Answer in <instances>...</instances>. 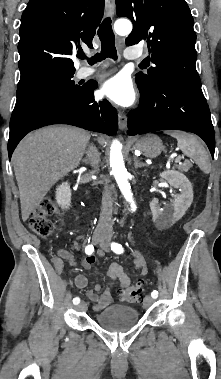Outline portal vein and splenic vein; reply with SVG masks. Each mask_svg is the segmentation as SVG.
I'll use <instances>...</instances> for the list:
<instances>
[{"label": "portal vein and splenic vein", "mask_w": 221, "mask_h": 379, "mask_svg": "<svg viewBox=\"0 0 221 379\" xmlns=\"http://www.w3.org/2000/svg\"><path fill=\"white\" fill-rule=\"evenodd\" d=\"M173 157H174L173 160H174L175 163H178V162H180L182 160V157L181 156H177L176 154L173 155Z\"/></svg>", "instance_id": "obj_1"}]
</instances>
